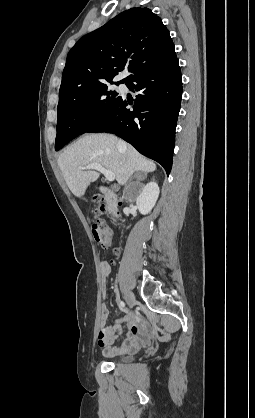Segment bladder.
<instances>
[{"mask_svg": "<svg viewBox=\"0 0 255 418\" xmlns=\"http://www.w3.org/2000/svg\"><path fill=\"white\" fill-rule=\"evenodd\" d=\"M131 358H132L131 356H123V357L117 358L116 361H119V362H128V361L131 360Z\"/></svg>", "mask_w": 255, "mask_h": 418, "instance_id": "bladder-1", "label": "bladder"}]
</instances>
